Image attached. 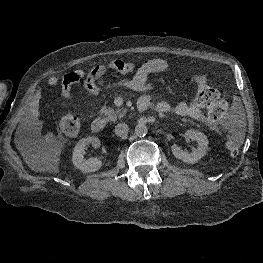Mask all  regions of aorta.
I'll return each instance as SVG.
<instances>
[{
    "label": "aorta",
    "instance_id": "aorta-1",
    "mask_svg": "<svg viewBox=\"0 0 263 263\" xmlns=\"http://www.w3.org/2000/svg\"><path fill=\"white\" fill-rule=\"evenodd\" d=\"M135 134L139 137H143L148 133V128L145 124H137L134 130Z\"/></svg>",
    "mask_w": 263,
    "mask_h": 263
}]
</instances>
